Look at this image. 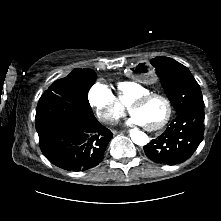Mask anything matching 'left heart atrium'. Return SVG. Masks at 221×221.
<instances>
[{"label": "left heart atrium", "instance_id": "obj_1", "mask_svg": "<svg viewBox=\"0 0 221 221\" xmlns=\"http://www.w3.org/2000/svg\"><path fill=\"white\" fill-rule=\"evenodd\" d=\"M129 123L135 124V125H145L143 120L140 117H138L137 115H134V114L129 119Z\"/></svg>", "mask_w": 221, "mask_h": 221}]
</instances>
